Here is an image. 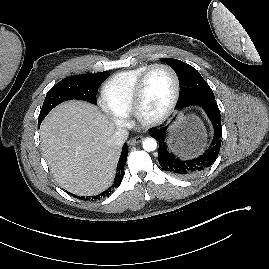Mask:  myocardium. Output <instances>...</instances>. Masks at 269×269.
<instances>
[{
	"label": "myocardium",
	"mask_w": 269,
	"mask_h": 269,
	"mask_svg": "<svg viewBox=\"0 0 269 269\" xmlns=\"http://www.w3.org/2000/svg\"><path fill=\"white\" fill-rule=\"evenodd\" d=\"M157 68H163L167 70L174 81V91L172 98L165 108V110L160 113L159 115L155 117H146L144 116L142 112V101H143V95H144V89H145V84L146 80L149 76V74ZM180 91H181V82L180 78L177 74V72L168 64L165 63H155L147 67V69L141 74L139 77L135 88L133 92V97H132V104H131V113L135 117V119L138 121L139 124L145 127H152L161 124L165 120L169 118V116L173 113L179 97H180Z\"/></svg>",
	"instance_id": "myocardium-1"
}]
</instances>
